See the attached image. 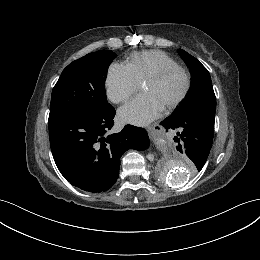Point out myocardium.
I'll use <instances>...</instances> for the list:
<instances>
[{
  "instance_id": "1",
  "label": "myocardium",
  "mask_w": 260,
  "mask_h": 260,
  "mask_svg": "<svg viewBox=\"0 0 260 260\" xmlns=\"http://www.w3.org/2000/svg\"><path fill=\"white\" fill-rule=\"evenodd\" d=\"M178 72L183 74V76L185 78V86H184V89L182 90V92L172 102H170L169 104H167L165 106L166 109H173V108L177 107L188 95L190 88H191V84H192L190 72L186 68L179 66V65L171 66V67H166V68L161 69L157 73L149 76L144 81V84L158 83V82L163 81L170 75H172L174 73H178Z\"/></svg>"
}]
</instances>
